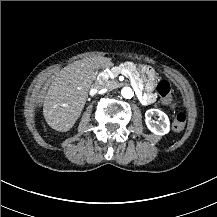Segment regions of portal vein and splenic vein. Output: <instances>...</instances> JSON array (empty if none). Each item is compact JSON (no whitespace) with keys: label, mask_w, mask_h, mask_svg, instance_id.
I'll list each match as a JSON object with an SVG mask.
<instances>
[{"label":"portal vein and splenic vein","mask_w":217,"mask_h":217,"mask_svg":"<svg viewBox=\"0 0 217 217\" xmlns=\"http://www.w3.org/2000/svg\"><path fill=\"white\" fill-rule=\"evenodd\" d=\"M125 76L129 79L131 86H133V87L137 86L136 81H135V79H134V77H133V75H132L131 72H129L128 70L125 71ZM109 77L112 80L115 79V75L114 74L109 75Z\"/></svg>","instance_id":"obj_1"}]
</instances>
